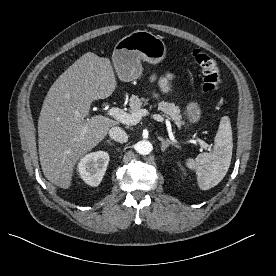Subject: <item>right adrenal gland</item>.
Returning <instances> with one entry per match:
<instances>
[{"instance_id":"right-adrenal-gland-1","label":"right adrenal gland","mask_w":276,"mask_h":276,"mask_svg":"<svg viewBox=\"0 0 276 276\" xmlns=\"http://www.w3.org/2000/svg\"><path fill=\"white\" fill-rule=\"evenodd\" d=\"M107 143L111 146L113 145V143L110 140H107Z\"/></svg>"}]
</instances>
